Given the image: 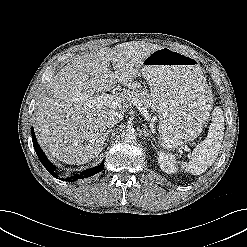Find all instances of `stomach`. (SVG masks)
Instances as JSON below:
<instances>
[{"mask_svg":"<svg viewBox=\"0 0 247 247\" xmlns=\"http://www.w3.org/2000/svg\"><path fill=\"white\" fill-rule=\"evenodd\" d=\"M140 71L159 114L161 145L173 149L193 141L201 132L212 101L199 62L161 47L143 60Z\"/></svg>","mask_w":247,"mask_h":247,"instance_id":"0dacf381","label":"stomach"}]
</instances>
